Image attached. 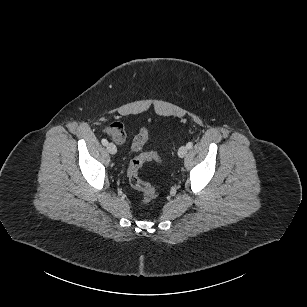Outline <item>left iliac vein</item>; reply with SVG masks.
Masks as SVG:
<instances>
[{
    "label": "left iliac vein",
    "instance_id": "1",
    "mask_svg": "<svg viewBox=\"0 0 307 307\" xmlns=\"http://www.w3.org/2000/svg\"><path fill=\"white\" fill-rule=\"evenodd\" d=\"M187 151H188L187 146H181V147L179 148V150H178V156H179L180 158L185 157V155L187 154Z\"/></svg>",
    "mask_w": 307,
    "mask_h": 307
}]
</instances>
